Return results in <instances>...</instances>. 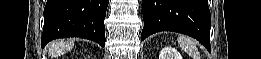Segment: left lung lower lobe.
Masks as SVG:
<instances>
[{
	"label": "left lung lower lobe",
	"instance_id": "obj_1",
	"mask_svg": "<svg viewBox=\"0 0 261 59\" xmlns=\"http://www.w3.org/2000/svg\"><path fill=\"white\" fill-rule=\"evenodd\" d=\"M141 40L159 31L197 39L210 52L211 16L207 0H143Z\"/></svg>",
	"mask_w": 261,
	"mask_h": 59
}]
</instances>
